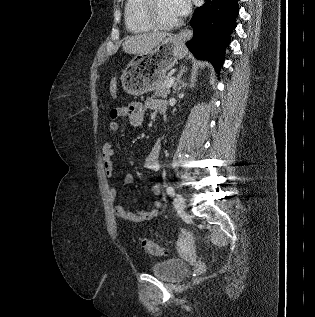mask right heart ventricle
<instances>
[{
  "mask_svg": "<svg viewBox=\"0 0 315 317\" xmlns=\"http://www.w3.org/2000/svg\"><path fill=\"white\" fill-rule=\"evenodd\" d=\"M145 0H126L124 8V21L128 31L144 33L152 27L143 18V5Z\"/></svg>",
  "mask_w": 315,
  "mask_h": 317,
  "instance_id": "right-heart-ventricle-1",
  "label": "right heart ventricle"
}]
</instances>
